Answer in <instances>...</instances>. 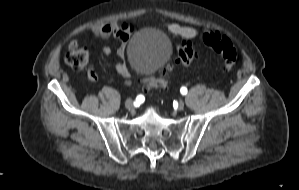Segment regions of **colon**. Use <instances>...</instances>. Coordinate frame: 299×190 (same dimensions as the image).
Here are the masks:
<instances>
[{"mask_svg":"<svg viewBox=\"0 0 299 190\" xmlns=\"http://www.w3.org/2000/svg\"><path fill=\"white\" fill-rule=\"evenodd\" d=\"M204 43L212 48L223 60L226 70L232 69L238 60V52L232 42L226 36L216 32H206L203 35ZM196 57V47L191 42H183L177 52V62L188 66ZM89 53L84 47L73 45L65 56V63L74 70H81L88 66ZM172 65L166 64L154 75L143 79L144 89L149 92L155 89H164L168 85V77L171 75Z\"/></svg>","mask_w":299,"mask_h":190,"instance_id":"5ec220e1","label":"colon"}]
</instances>
